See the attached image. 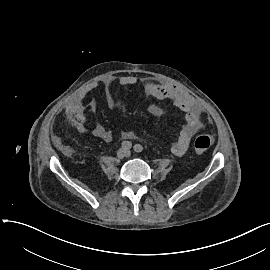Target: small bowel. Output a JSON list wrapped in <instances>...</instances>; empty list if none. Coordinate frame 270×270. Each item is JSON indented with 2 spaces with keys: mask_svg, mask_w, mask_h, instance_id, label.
Masks as SVG:
<instances>
[{
  "mask_svg": "<svg viewBox=\"0 0 270 270\" xmlns=\"http://www.w3.org/2000/svg\"><path fill=\"white\" fill-rule=\"evenodd\" d=\"M136 82L137 79L132 76L107 80L105 82V99L107 105L110 108H114L116 105L112 92L114 85L130 86ZM143 84L150 95L159 100L171 102L175 107L185 113V123L178 139L171 148L174 155L183 156L188 149L193 135L202 128L201 111L198 104L186 91L171 83L148 77L143 80ZM88 90H84L66 109L67 121L79 133H85L87 131L84 101ZM147 111L154 117L161 116L163 113L162 108L155 104H150L147 107ZM93 134L105 142H110L113 139L112 132L100 123L95 125ZM121 137L123 139L136 138L134 134L128 132L122 133Z\"/></svg>",
  "mask_w": 270,
  "mask_h": 270,
  "instance_id": "1",
  "label": "small bowel"
}]
</instances>
